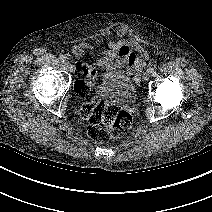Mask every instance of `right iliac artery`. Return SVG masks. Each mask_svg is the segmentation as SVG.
<instances>
[{"mask_svg":"<svg viewBox=\"0 0 212 212\" xmlns=\"http://www.w3.org/2000/svg\"><path fill=\"white\" fill-rule=\"evenodd\" d=\"M59 59H60L62 62H65V59H66V58H65L64 55H60V56H59Z\"/></svg>","mask_w":212,"mask_h":212,"instance_id":"right-iliac-artery-1","label":"right iliac artery"}]
</instances>
